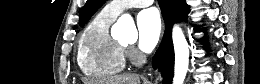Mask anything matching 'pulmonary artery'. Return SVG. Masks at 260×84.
Wrapping results in <instances>:
<instances>
[{
  "instance_id": "1",
  "label": "pulmonary artery",
  "mask_w": 260,
  "mask_h": 84,
  "mask_svg": "<svg viewBox=\"0 0 260 84\" xmlns=\"http://www.w3.org/2000/svg\"><path fill=\"white\" fill-rule=\"evenodd\" d=\"M152 3V0L112 1L104 7V10L111 15L118 16L126 9L133 7H146L151 5Z\"/></svg>"
}]
</instances>
